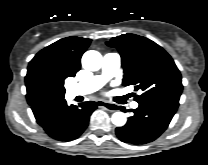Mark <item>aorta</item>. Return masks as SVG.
Instances as JSON below:
<instances>
[{
	"label": "aorta",
	"instance_id": "obj_1",
	"mask_svg": "<svg viewBox=\"0 0 208 165\" xmlns=\"http://www.w3.org/2000/svg\"><path fill=\"white\" fill-rule=\"evenodd\" d=\"M102 55L95 50L86 51L82 56V66L89 71H97L102 66ZM126 115L123 112H115L111 121L116 126H123L126 123Z\"/></svg>",
	"mask_w": 208,
	"mask_h": 165
}]
</instances>
